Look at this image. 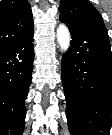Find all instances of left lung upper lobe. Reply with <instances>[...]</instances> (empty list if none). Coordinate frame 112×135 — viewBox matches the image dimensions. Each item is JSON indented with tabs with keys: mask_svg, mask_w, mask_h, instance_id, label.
Returning <instances> with one entry per match:
<instances>
[{
	"mask_svg": "<svg viewBox=\"0 0 112 135\" xmlns=\"http://www.w3.org/2000/svg\"><path fill=\"white\" fill-rule=\"evenodd\" d=\"M60 20L72 27L107 33L102 16L88 0H61Z\"/></svg>",
	"mask_w": 112,
	"mask_h": 135,
	"instance_id": "1",
	"label": "left lung upper lobe"
}]
</instances>
